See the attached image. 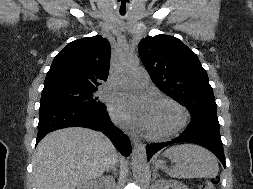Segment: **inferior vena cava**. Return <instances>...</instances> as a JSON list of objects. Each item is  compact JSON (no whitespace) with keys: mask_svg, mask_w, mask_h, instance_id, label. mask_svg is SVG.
I'll use <instances>...</instances> for the list:
<instances>
[{"mask_svg":"<svg viewBox=\"0 0 253 189\" xmlns=\"http://www.w3.org/2000/svg\"><path fill=\"white\" fill-rule=\"evenodd\" d=\"M115 154H116V156H118V157H119V156H121V154H122V153H121V151H119V150H118V151H116V153H115ZM121 161H122V160H121Z\"/></svg>","mask_w":253,"mask_h":189,"instance_id":"602c4592","label":"inferior vena cava"}]
</instances>
